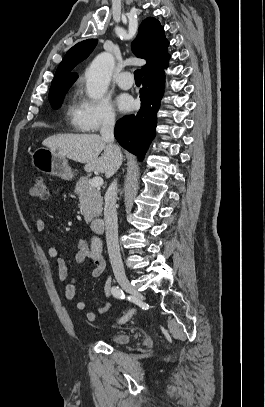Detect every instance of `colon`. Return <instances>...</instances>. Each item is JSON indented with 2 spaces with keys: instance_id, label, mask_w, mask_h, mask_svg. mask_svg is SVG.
<instances>
[{
  "instance_id": "obj_1",
  "label": "colon",
  "mask_w": 265,
  "mask_h": 407,
  "mask_svg": "<svg viewBox=\"0 0 265 407\" xmlns=\"http://www.w3.org/2000/svg\"><path fill=\"white\" fill-rule=\"evenodd\" d=\"M47 182L42 176H37L34 179L33 185L31 187V195L33 197L45 199L47 197Z\"/></svg>"
}]
</instances>
